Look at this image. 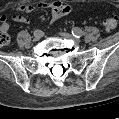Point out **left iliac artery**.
<instances>
[{
	"label": "left iliac artery",
	"instance_id": "left-iliac-artery-1",
	"mask_svg": "<svg viewBox=\"0 0 119 119\" xmlns=\"http://www.w3.org/2000/svg\"><path fill=\"white\" fill-rule=\"evenodd\" d=\"M71 32H72L73 36H75L76 38H80L81 36L84 35V31H82L78 27L73 28Z\"/></svg>",
	"mask_w": 119,
	"mask_h": 119
}]
</instances>
